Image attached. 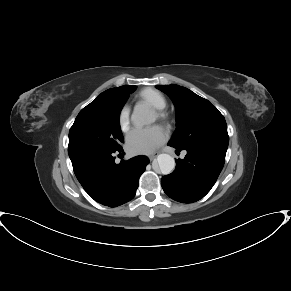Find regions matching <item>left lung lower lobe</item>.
Returning a JSON list of instances; mask_svg holds the SVG:
<instances>
[{
  "mask_svg": "<svg viewBox=\"0 0 291 291\" xmlns=\"http://www.w3.org/2000/svg\"><path fill=\"white\" fill-rule=\"evenodd\" d=\"M174 148L176 151L183 150ZM227 148L228 144L224 143H198L185 147V158L176 160L175 170L161 179L164 192L182 203L203 198L224 166Z\"/></svg>",
  "mask_w": 291,
  "mask_h": 291,
  "instance_id": "left-lung-lower-lobe-1",
  "label": "left lung lower lobe"
}]
</instances>
